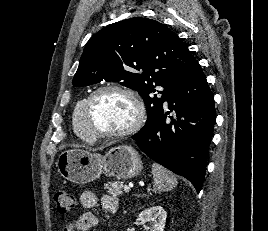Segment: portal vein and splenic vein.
I'll list each match as a JSON object with an SVG mask.
<instances>
[{
  "label": "portal vein and splenic vein",
  "instance_id": "1",
  "mask_svg": "<svg viewBox=\"0 0 268 231\" xmlns=\"http://www.w3.org/2000/svg\"><path fill=\"white\" fill-rule=\"evenodd\" d=\"M131 187H133V186H132V185H126V186L124 187V191H125V192H129Z\"/></svg>",
  "mask_w": 268,
  "mask_h": 231
}]
</instances>
